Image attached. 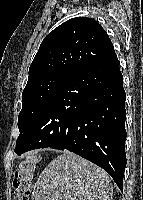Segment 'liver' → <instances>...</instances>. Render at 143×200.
<instances>
[{
    "label": "liver",
    "instance_id": "liver-1",
    "mask_svg": "<svg viewBox=\"0 0 143 200\" xmlns=\"http://www.w3.org/2000/svg\"><path fill=\"white\" fill-rule=\"evenodd\" d=\"M109 175L97 165L64 151L41 172L31 200H111Z\"/></svg>",
    "mask_w": 143,
    "mask_h": 200
}]
</instances>
